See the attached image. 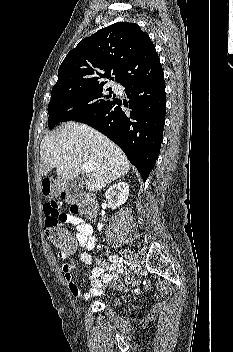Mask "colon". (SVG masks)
I'll list each match as a JSON object with an SVG mask.
<instances>
[{
  "mask_svg": "<svg viewBox=\"0 0 233 352\" xmlns=\"http://www.w3.org/2000/svg\"><path fill=\"white\" fill-rule=\"evenodd\" d=\"M95 203L89 196H83L79 203L72 207L74 214L91 215L95 211ZM46 235L49 241L62 252H72L74 243L69 233L56 224H46Z\"/></svg>",
  "mask_w": 233,
  "mask_h": 352,
  "instance_id": "1",
  "label": "colon"
}]
</instances>
